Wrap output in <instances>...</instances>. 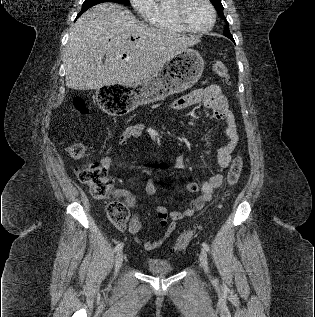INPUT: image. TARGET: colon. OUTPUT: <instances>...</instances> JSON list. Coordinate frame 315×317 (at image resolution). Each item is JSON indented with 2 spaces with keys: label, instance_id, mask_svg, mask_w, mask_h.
Segmentation results:
<instances>
[{
  "label": "colon",
  "instance_id": "1",
  "mask_svg": "<svg viewBox=\"0 0 315 317\" xmlns=\"http://www.w3.org/2000/svg\"><path fill=\"white\" fill-rule=\"evenodd\" d=\"M213 70L215 74L222 80L228 82L229 74L226 64L222 61H215L213 63ZM75 108L81 113L85 114L87 109L82 99L76 98L74 100ZM69 155L74 159H82L86 156V146L81 142L71 143L67 147ZM243 168V159L240 155L235 156L226 176V184L229 188L235 186L241 176ZM78 177L90 190V192L99 199H106V212L112 224L118 228H125L129 220V210L126 204L115 197H112V179L108 174V169L102 164L91 163L87 166L78 169ZM228 191L225 192V195ZM194 236V230H188L182 233L173 245V251L179 252L184 250Z\"/></svg>",
  "mask_w": 315,
  "mask_h": 317
}]
</instances>
